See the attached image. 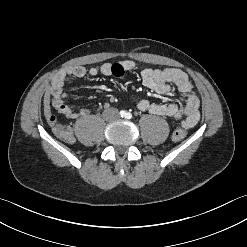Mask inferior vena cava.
Here are the masks:
<instances>
[{
	"instance_id": "inferior-vena-cava-1",
	"label": "inferior vena cava",
	"mask_w": 247,
	"mask_h": 247,
	"mask_svg": "<svg viewBox=\"0 0 247 247\" xmlns=\"http://www.w3.org/2000/svg\"><path fill=\"white\" fill-rule=\"evenodd\" d=\"M103 117L105 119H116L119 117L118 110L115 108L106 109L103 112Z\"/></svg>"
}]
</instances>
